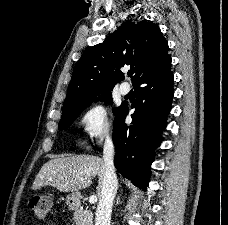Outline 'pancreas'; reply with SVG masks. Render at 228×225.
<instances>
[{"mask_svg":"<svg viewBox=\"0 0 228 225\" xmlns=\"http://www.w3.org/2000/svg\"><path fill=\"white\" fill-rule=\"evenodd\" d=\"M73 213V223L74 225H93V215L91 211H82L80 207L74 209Z\"/></svg>","mask_w":228,"mask_h":225,"instance_id":"obj_1","label":"pancreas"}]
</instances>
